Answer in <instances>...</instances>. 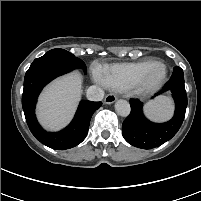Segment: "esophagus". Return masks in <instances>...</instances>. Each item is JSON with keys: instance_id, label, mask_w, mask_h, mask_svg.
I'll use <instances>...</instances> for the list:
<instances>
[{"instance_id": "34e87169", "label": "esophagus", "mask_w": 201, "mask_h": 201, "mask_svg": "<svg viewBox=\"0 0 201 201\" xmlns=\"http://www.w3.org/2000/svg\"><path fill=\"white\" fill-rule=\"evenodd\" d=\"M117 97L114 94H108L106 95L105 99H104V103L105 104H112L116 101Z\"/></svg>"}]
</instances>
